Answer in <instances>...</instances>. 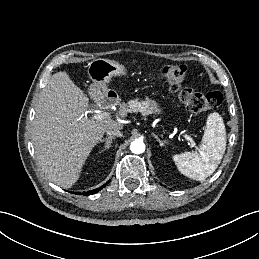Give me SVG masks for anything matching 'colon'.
I'll list each match as a JSON object with an SVG mask.
<instances>
[{"mask_svg": "<svg viewBox=\"0 0 259 259\" xmlns=\"http://www.w3.org/2000/svg\"><path fill=\"white\" fill-rule=\"evenodd\" d=\"M186 70V66L179 63L163 67L162 76L167 82L169 90L176 94L180 102L192 112L216 110L222 103V94L218 91L203 94L192 87L183 86Z\"/></svg>", "mask_w": 259, "mask_h": 259, "instance_id": "1", "label": "colon"}]
</instances>
